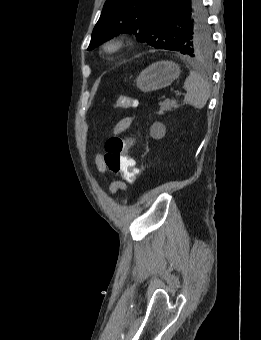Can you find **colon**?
<instances>
[{
	"label": "colon",
	"instance_id": "obj_1",
	"mask_svg": "<svg viewBox=\"0 0 261 340\" xmlns=\"http://www.w3.org/2000/svg\"><path fill=\"white\" fill-rule=\"evenodd\" d=\"M136 105L132 97L121 96L116 101L117 108H130ZM132 138H121L113 136L105 143L104 162L113 173L120 174L123 182L135 184L140 170L135 166V162L127 155V150L133 144Z\"/></svg>",
	"mask_w": 261,
	"mask_h": 340
}]
</instances>
